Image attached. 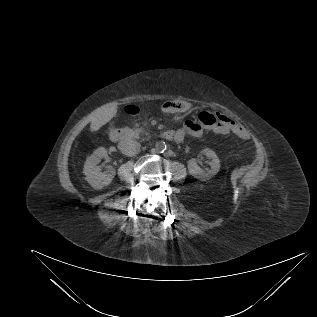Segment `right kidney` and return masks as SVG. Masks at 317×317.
<instances>
[{
    "label": "right kidney",
    "mask_w": 317,
    "mask_h": 317,
    "mask_svg": "<svg viewBox=\"0 0 317 317\" xmlns=\"http://www.w3.org/2000/svg\"><path fill=\"white\" fill-rule=\"evenodd\" d=\"M108 156L107 150L104 147L96 149L90 157L87 158L84 164V174L86 181L95 189H102L108 186L113 180L116 171L112 166H108L105 172H101L98 166L101 159Z\"/></svg>",
    "instance_id": "right-kidney-1"
}]
</instances>
